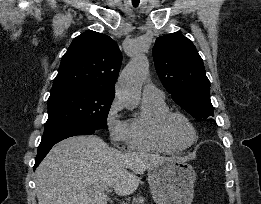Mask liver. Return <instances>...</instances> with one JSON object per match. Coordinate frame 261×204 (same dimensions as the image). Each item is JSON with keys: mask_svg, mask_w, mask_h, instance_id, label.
I'll return each instance as SVG.
<instances>
[{"mask_svg": "<svg viewBox=\"0 0 261 204\" xmlns=\"http://www.w3.org/2000/svg\"><path fill=\"white\" fill-rule=\"evenodd\" d=\"M169 159L145 152L124 153L95 135L67 138L36 169L38 204H107L105 189L96 186L130 195L139 186L138 174Z\"/></svg>", "mask_w": 261, "mask_h": 204, "instance_id": "obj_1", "label": "liver"}]
</instances>
